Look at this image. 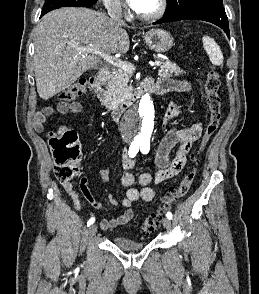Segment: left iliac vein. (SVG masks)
<instances>
[{"label": "left iliac vein", "mask_w": 259, "mask_h": 294, "mask_svg": "<svg viewBox=\"0 0 259 294\" xmlns=\"http://www.w3.org/2000/svg\"><path fill=\"white\" fill-rule=\"evenodd\" d=\"M162 224L166 230H170L172 227L171 220L168 218H163Z\"/></svg>", "instance_id": "obj_1"}]
</instances>
